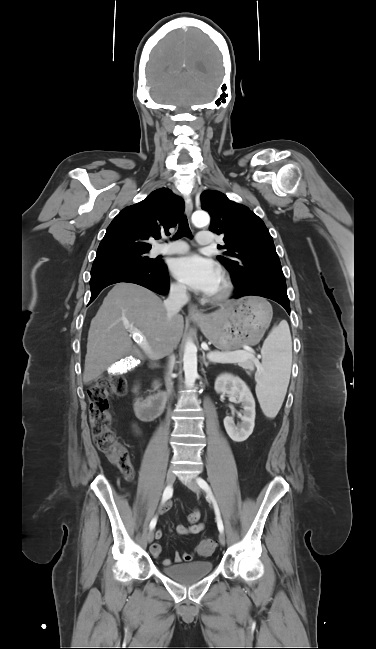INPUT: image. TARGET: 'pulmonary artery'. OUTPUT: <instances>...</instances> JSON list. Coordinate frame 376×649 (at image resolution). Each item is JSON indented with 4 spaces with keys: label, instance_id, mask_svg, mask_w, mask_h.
Wrapping results in <instances>:
<instances>
[{
    "label": "pulmonary artery",
    "instance_id": "1",
    "mask_svg": "<svg viewBox=\"0 0 376 649\" xmlns=\"http://www.w3.org/2000/svg\"><path fill=\"white\" fill-rule=\"evenodd\" d=\"M213 243V237L210 232L201 231L197 235V244L203 247ZM188 251V246L184 242H173L169 245H158L154 248V255H172L182 254Z\"/></svg>",
    "mask_w": 376,
    "mask_h": 649
}]
</instances>
